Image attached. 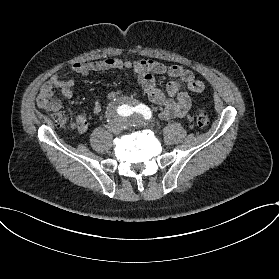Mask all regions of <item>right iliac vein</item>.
Returning <instances> with one entry per match:
<instances>
[{"label": "right iliac vein", "mask_w": 279, "mask_h": 279, "mask_svg": "<svg viewBox=\"0 0 279 279\" xmlns=\"http://www.w3.org/2000/svg\"><path fill=\"white\" fill-rule=\"evenodd\" d=\"M112 131H113V132H115V131H116V129H113Z\"/></svg>", "instance_id": "1"}]
</instances>
